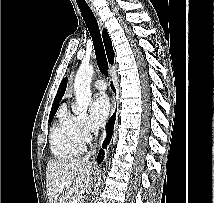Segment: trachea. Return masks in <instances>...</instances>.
<instances>
[{"instance_id": "1", "label": "trachea", "mask_w": 214, "mask_h": 203, "mask_svg": "<svg viewBox=\"0 0 214 203\" xmlns=\"http://www.w3.org/2000/svg\"><path fill=\"white\" fill-rule=\"evenodd\" d=\"M78 7L92 37L99 70L102 74L108 76V62L96 18L87 4L78 3Z\"/></svg>"}]
</instances>
